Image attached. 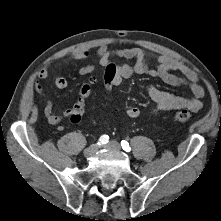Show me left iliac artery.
Segmentation results:
<instances>
[{
	"mask_svg": "<svg viewBox=\"0 0 221 221\" xmlns=\"http://www.w3.org/2000/svg\"><path fill=\"white\" fill-rule=\"evenodd\" d=\"M121 146H122L123 150H125L126 152H130L131 148H130L129 143L127 141L122 140Z\"/></svg>",
	"mask_w": 221,
	"mask_h": 221,
	"instance_id": "left-iliac-artery-1",
	"label": "left iliac artery"
}]
</instances>
